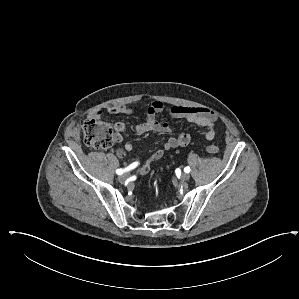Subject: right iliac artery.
Here are the masks:
<instances>
[{"label": "right iliac artery", "instance_id": "right-iliac-artery-1", "mask_svg": "<svg viewBox=\"0 0 299 299\" xmlns=\"http://www.w3.org/2000/svg\"><path fill=\"white\" fill-rule=\"evenodd\" d=\"M137 165H138V162H134V163H132L131 165H129V166H128L127 168H125V169H117V170H116V173H117L118 175H122L124 172L129 171V170H131V169H134Z\"/></svg>", "mask_w": 299, "mask_h": 299}]
</instances>
